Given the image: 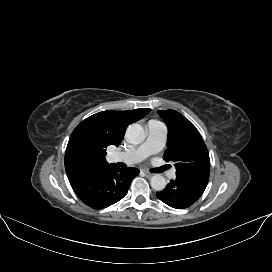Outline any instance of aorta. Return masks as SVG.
Wrapping results in <instances>:
<instances>
[{"label":"aorta","mask_w":272,"mask_h":272,"mask_svg":"<svg viewBox=\"0 0 272 272\" xmlns=\"http://www.w3.org/2000/svg\"><path fill=\"white\" fill-rule=\"evenodd\" d=\"M126 138L133 144L142 143L146 138L144 128L137 123L130 124L126 130ZM150 185L154 190L162 191L166 187V180L162 175L156 174L151 177Z\"/></svg>","instance_id":"762f6f07"}]
</instances>
